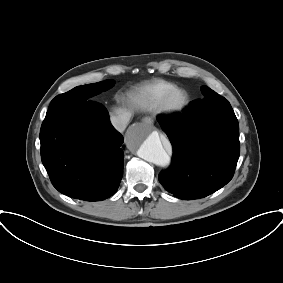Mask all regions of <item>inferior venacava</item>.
<instances>
[{
	"instance_id": "602c4592",
	"label": "inferior vena cava",
	"mask_w": 283,
	"mask_h": 283,
	"mask_svg": "<svg viewBox=\"0 0 283 283\" xmlns=\"http://www.w3.org/2000/svg\"><path fill=\"white\" fill-rule=\"evenodd\" d=\"M131 118L130 113H123L117 116L111 117V123L119 132H123L128 125Z\"/></svg>"
}]
</instances>
